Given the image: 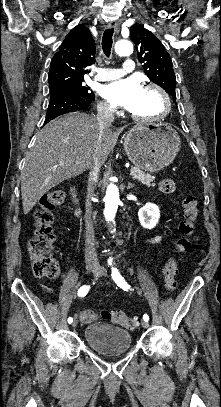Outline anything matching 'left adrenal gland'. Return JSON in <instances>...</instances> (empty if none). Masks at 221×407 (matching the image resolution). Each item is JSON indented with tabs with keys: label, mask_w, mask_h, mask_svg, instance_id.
<instances>
[{
	"label": "left adrenal gland",
	"mask_w": 221,
	"mask_h": 407,
	"mask_svg": "<svg viewBox=\"0 0 221 407\" xmlns=\"http://www.w3.org/2000/svg\"><path fill=\"white\" fill-rule=\"evenodd\" d=\"M134 187V184H132V183H128V186H127V189H131V188H133Z\"/></svg>",
	"instance_id": "obj_1"
}]
</instances>
